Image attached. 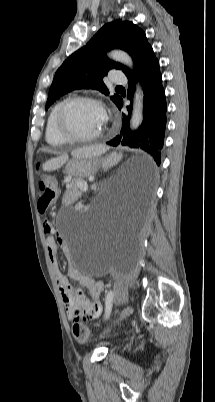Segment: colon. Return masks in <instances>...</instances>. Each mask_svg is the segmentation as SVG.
<instances>
[{"label": "colon", "instance_id": "colon-1", "mask_svg": "<svg viewBox=\"0 0 215 402\" xmlns=\"http://www.w3.org/2000/svg\"><path fill=\"white\" fill-rule=\"evenodd\" d=\"M39 188L41 190V196L39 198L38 206L40 211L44 212L57 198L59 190L58 181L55 177L46 175L40 181ZM72 331L75 339L80 342H86L90 339L88 328L80 323V320L74 323Z\"/></svg>", "mask_w": 215, "mask_h": 402}]
</instances>
